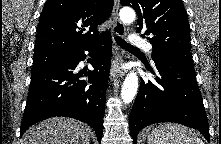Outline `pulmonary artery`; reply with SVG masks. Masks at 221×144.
Returning a JSON list of instances; mask_svg holds the SVG:
<instances>
[{"label": "pulmonary artery", "mask_w": 221, "mask_h": 144, "mask_svg": "<svg viewBox=\"0 0 221 144\" xmlns=\"http://www.w3.org/2000/svg\"><path fill=\"white\" fill-rule=\"evenodd\" d=\"M129 41L133 46L142 48L148 53H151L152 51V45L137 34L130 35Z\"/></svg>", "instance_id": "pulmonary-artery-1"}]
</instances>
